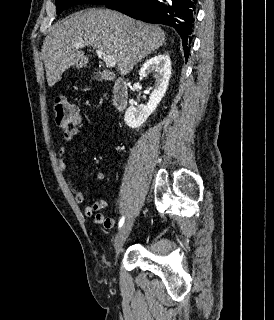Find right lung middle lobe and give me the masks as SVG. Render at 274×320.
<instances>
[{"instance_id": "dd1d6c3e", "label": "right lung middle lobe", "mask_w": 274, "mask_h": 320, "mask_svg": "<svg viewBox=\"0 0 274 320\" xmlns=\"http://www.w3.org/2000/svg\"><path fill=\"white\" fill-rule=\"evenodd\" d=\"M111 0H56L57 14H60L64 9L78 4H101L105 5Z\"/></svg>"}]
</instances>
